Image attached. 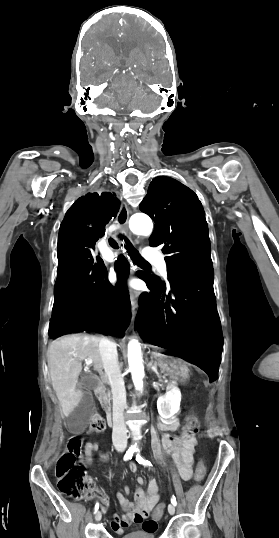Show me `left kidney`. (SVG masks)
<instances>
[{"instance_id":"obj_1","label":"left kidney","mask_w":279,"mask_h":538,"mask_svg":"<svg viewBox=\"0 0 279 538\" xmlns=\"http://www.w3.org/2000/svg\"><path fill=\"white\" fill-rule=\"evenodd\" d=\"M181 392L177 386H173L164 396L157 400V410L161 418H172L180 410Z\"/></svg>"}]
</instances>
